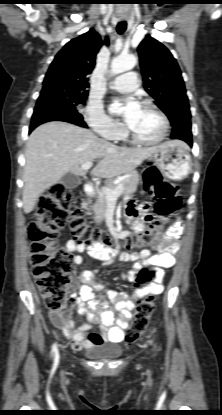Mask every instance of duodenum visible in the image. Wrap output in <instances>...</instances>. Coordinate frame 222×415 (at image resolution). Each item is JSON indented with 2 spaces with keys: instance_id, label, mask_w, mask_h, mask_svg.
<instances>
[{
  "instance_id": "1",
  "label": "duodenum",
  "mask_w": 222,
  "mask_h": 415,
  "mask_svg": "<svg viewBox=\"0 0 222 415\" xmlns=\"http://www.w3.org/2000/svg\"><path fill=\"white\" fill-rule=\"evenodd\" d=\"M84 191H85V195H86V200L83 203V207L85 209H89L91 207V201L94 197V189L91 185H86L85 188H84ZM91 253H93L95 255H98V256L107 255V257H108L106 247H95L91 250Z\"/></svg>"
}]
</instances>
